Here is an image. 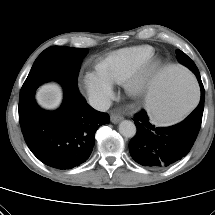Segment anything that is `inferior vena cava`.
Wrapping results in <instances>:
<instances>
[{"label":"inferior vena cava","instance_id":"1","mask_svg":"<svg viewBox=\"0 0 215 215\" xmlns=\"http://www.w3.org/2000/svg\"><path fill=\"white\" fill-rule=\"evenodd\" d=\"M90 105L98 111H107L111 106V100L106 97L92 96L89 98Z\"/></svg>","mask_w":215,"mask_h":215}]
</instances>
